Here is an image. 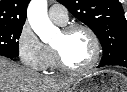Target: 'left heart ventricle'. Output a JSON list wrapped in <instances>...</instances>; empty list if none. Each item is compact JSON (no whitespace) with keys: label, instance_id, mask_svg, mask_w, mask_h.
<instances>
[{"label":"left heart ventricle","instance_id":"left-heart-ventricle-1","mask_svg":"<svg viewBox=\"0 0 127 92\" xmlns=\"http://www.w3.org/2000/svg\"><path fill=\"white\" fill-rule=\"evenodd\" d=\"M53 45L60 50L64 61L73 68L84 67L93 56V43L83 30H75L67 35L59 32Z\"/></svg>","mask_w":127,"mask_h":92}]
</instances>
